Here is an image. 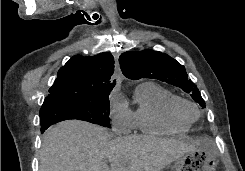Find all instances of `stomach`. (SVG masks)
<instances>
[{
	"label": "stomach",
	"mask_w": 245,
	"mask_h": 171,
	"mask_svg": "<svg viewBox=\"0 0 245 171\" xmlns=\"http://www.w3.org/2000/svg\"><path fill=\"white\" fill-rule=\"evenodd\" d=\"M215 154L209 146L198 147L175 161L176 171H215Z\"/></svg>",
	"instance_id": "1"
}]
</instances>
